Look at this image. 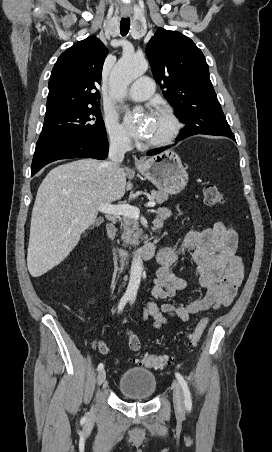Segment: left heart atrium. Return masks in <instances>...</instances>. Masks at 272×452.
Returning a JSON list of instances; mask_svg holds the SVG:
<instances>
[{"label":"left heart atrium","mask_w":272,"mask_h":452,"mask_svg":"<svg viewBox=\"0 0 272 452\" xmlns=\"http://www.w3.org/2000/svg\"><path fill=\"white\" fill-rule=\"evenodd\" d=\"M125 123L136 138H145L148 135L150 126L148 118L136 119L133 114L130 113L125 117Z\"/></svg>","instance_id":"left-heart-atrium-1"}]
</instances>
